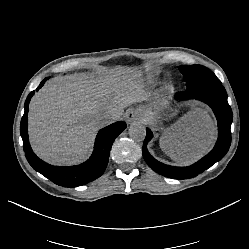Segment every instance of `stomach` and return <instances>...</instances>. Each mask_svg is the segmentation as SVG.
Returning <instances> with one entry per match:
<instances>
[{"instance_id": "0dacf381", "label": "stomach", "mask_w": 249, "mask_h": 249, "mask_svg": "<svg viewBox=\"0 0 249 249\" xmlns=\"http://www.w3.org/2000/svg\"><path fill=\"white\" fill-rule=\"evenodd\" d=\"M184 100L185 97L177 94L173 87L168 85L158 87L146 106L148 120L158 128L168 126L179 112Z\"/></svg>"}]
</instances>
